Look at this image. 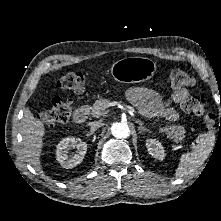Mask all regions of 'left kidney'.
Masks as SVG:
<instances>
[{
    "mask_svg": "<svg viewBox=\"0 0 221 221\" xmlns=\"http://www.w3.org/2000/svg\"><path fill=\"white\" fill-rule=\"evenodd\" d=\"M146 147L151 156L156 159L163 160L165 157V151L161 143L155 139H147Z\"/></svg>",
    "mask_w": 221,
    "mask_h": 221,
    "instance_id": "5707ae66",
    "label": "left kidney"
}]
</instances>
